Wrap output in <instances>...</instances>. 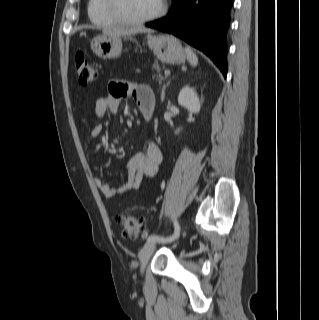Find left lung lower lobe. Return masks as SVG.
<instances>
[{"mask_svg":"<svg viewBox=\"0 0 319 320\" xmlns=\"http://www.w3.org/2000/svg\"><path fill=\"white\" fill-rule=\"evenodd\" d=\"M233 0H173L168 15L146 27L173 34L203 51L226 77L227 41Z\"/></svg>","mask_w":319,"mask_h":320,"instance_id":"1","label":"left lung lower lobe"}]
</instances>
